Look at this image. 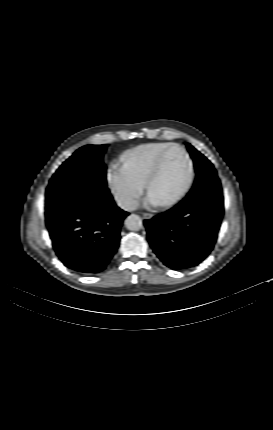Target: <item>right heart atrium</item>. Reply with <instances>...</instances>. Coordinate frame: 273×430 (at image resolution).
Returning <instances> with one entry per match:
<instances>
[{"instance_id":"right-heart-atrium-1","label":"right heart atrium","mask_w":273,"mask_h":430,"mask_svg":"<svg viewBox=\"0 0 273 430\" xmlns=\"http://www.w3.org/2000/svg\"><path fill=\"white\" fill-rule=\"evenodd\" d=\"M107 181L114 199L123 209H132L144 190V183L134 178L119 162L109 165Z\"/></svg>"}]
</instances>
